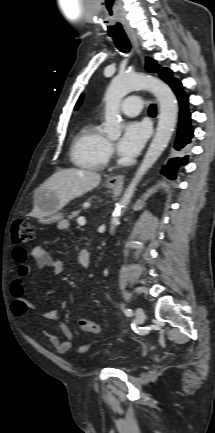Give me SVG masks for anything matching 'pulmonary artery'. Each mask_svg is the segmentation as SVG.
<instances>
[{"instance_id": "pulmonary-artery-1", "label": "pulmonary artery", "mask_w": 215, "mask_h": 433, "mask_svg": "<svg viewBox=\"0 0 215 433\" xmlns=\"http://www.w3.org/2000/svg\"><path fill=\"white\" fill-rule=\"evenodd\" d=\"M143 107L142 100L138 96H129L121 104V111L128 116H135L140 113Z\"/></svg>"}]
</instances>
